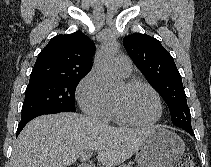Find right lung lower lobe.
Instances as JSON below:
<instances>
[{"label": "right lung lower lobe", "instance_id": "98d812e1", "mask_svg": "<svg viewBox=\"0 0 211 167\" xmlns=\"http://www.w3.org/2000/svg\"><path fill=\"white\" fill-rule=\"evenodd\" d=\"M59 112H66V111H48V112H41L38 114H34L31 116H28L24 119H21L19 125H18V129H17V136L19 135V133L22 131V129L24 128V126L33 118L44 115V114H54V113H59Z\"/></svg>", "mask_w": 211, "mask_h": 167}]
</instances>
